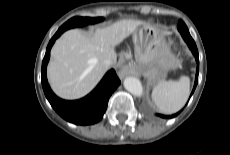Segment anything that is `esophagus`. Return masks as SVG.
Returning a JSON list of instances; mask_svg holds the SVG:
<instances>
[{
	"label": "esophagus",
	"instance_id": "esophagus-1",
	"mask_svg": "<svg viewBox=\"0 0 230 155\" xmlns=\"http://www.w3.org/2000/svg\"><path fill=\"white\" fill-rule=\"evenodd\" d=\"M127 73H128L127 70L122 69V70L120 71V73H119V76H120L121 78H123V77H125V76L127 75Z\"/></svg>",
	"mask_w": 230,
	"mask_h": 155
}]
</instances>
